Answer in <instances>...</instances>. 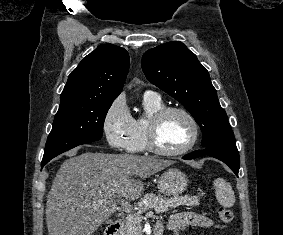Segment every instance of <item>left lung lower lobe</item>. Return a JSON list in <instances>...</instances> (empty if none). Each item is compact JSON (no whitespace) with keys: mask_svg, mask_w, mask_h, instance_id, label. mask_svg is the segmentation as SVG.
<instances>
[{"mask_svg":"<svg viewBox=\"0 0 283 235\" xmlns=\"http://www.w3.org/2000/svg\"><path fill=\"white\" fill-rule=\"evenodd\" d=\"M210 156L217 158L227 164L232 171L238 176V171L240 167L239 162V152L236 145H221L207 147L204 150L194 151L183 157V159L191 160L201 156Z\"/></svg>","mask_w":283,"mask_h":235,"instance_id":"obj_1","label":"left lung lower lobe"}]
</instances>
